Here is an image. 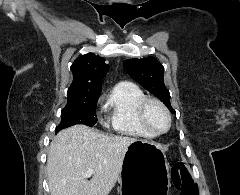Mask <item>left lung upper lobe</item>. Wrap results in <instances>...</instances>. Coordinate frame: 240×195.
I'll list each match as a JSON object with an SVG mask.
<instances>
[{"mask_svg": "<svg viewBox=\"0 0 240 195\" xmlns=\"http://www.w3.org/2000/svg\"><path fill=\"white\" fill-rule=\"evenodd\" d=\"M128 74L142 87L161 100L172 113L175 110L170 105V93L163 80L164 69L153 57L129 59L124 62Z\"/></svg>", "mask_w": 240, "mask_h": 195, "instance_id": "left-lung-upper-lobe-1", "label": "left lung upper lobe"}]
</instances>
